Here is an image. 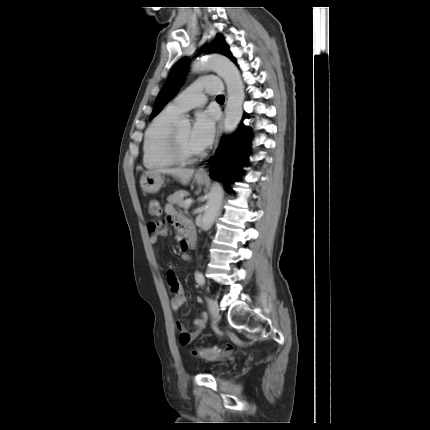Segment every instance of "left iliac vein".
Masks as SVG:
<instances>
[{"label": "left iliac vein", "instance_id": "left-iliac-vein-1", "mask_svg": "<svg viewBox=\"0 0 430 430\" xmlns=\"http://www.w3.org/2000/svg\"><path fill=\"white\" fill-rule=\"evenodd\" d=\"M209 311L213 317L214 323L217 324L220 319V316L218 303L216 301H209Z\"/></svg>", "mask_w": 430, "mask_h": 430}]
</instances>
